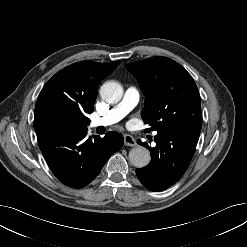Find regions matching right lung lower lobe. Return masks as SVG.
<instances>
[{"instance_id": "obj_1", "label": "right lung lower lobe", "mask_w": 247, "mask_h": 247, "mask_svg": "<svg viewBox=\"0 0 247 247\" xmlns=\"http://www.w3.org/2000/svg\"><path fill=\"white\" fill-rule=\"evenodd\" d=\"M87 128L76 131H46L38 138L40 150L57 179L72 188H82L95 179L108 158L123 146L117 132L86 137Z\"/></svg>"}]
</instances>
